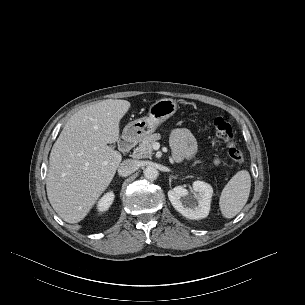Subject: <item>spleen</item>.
Here are the masks:
<instances>
[{
    "mask_svg": "<svg viewBox=\"0 0 305 305\" xmlns=\"http://www.w3.org/2000/svg\"><path fill=\"white\" fill-rule=\"evenodd\" d=\"M251 189V177L247 170L238 171L224 187L219 207L222 215L231 219L245 206Z\"/></svg>",
    "mask_w": 305,
    "mask_h": 305,
    "instance_id": "obj_1",
    "label": "spleen"
}]
</instances>
